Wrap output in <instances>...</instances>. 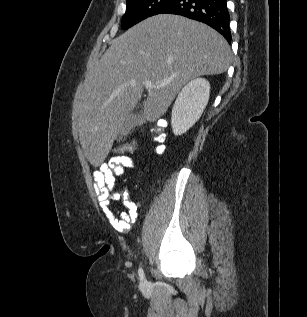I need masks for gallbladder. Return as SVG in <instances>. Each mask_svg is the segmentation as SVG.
Returning <instances> with one entry per match:
<instances>
[{"mask_svg": "<svg viewBox=\"0 0 307 317\" xmlns=\"http://www.w3.org/2000/svg\"><path fill=\"white\" fill-rule=\"evenodd\" d=\"M142 117L139 113L135 110L130 111L126 116L125 120L122 123V126L119 130V141L125 138L130 131L135 128L136 126H140L142 124Z\"/></svg>", "mask_w": 307, "mask_h": 317, "instance_id": "obj_1", "label": "gallbladder"}]
</instances>
